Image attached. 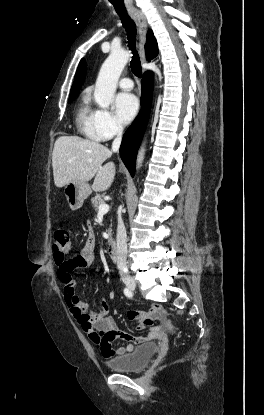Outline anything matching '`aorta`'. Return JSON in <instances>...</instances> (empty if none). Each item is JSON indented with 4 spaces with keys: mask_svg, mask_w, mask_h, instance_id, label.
<instances>
[{
    "mask_svg": "<svg viewBox=\"0 0 264 415\" xmlns=\"http://www.w3.org/2000/svg\"><path fill=\"white\" fill-rule=\"evenodd\" d=\"M129 53L123 49L112 50L101 66L97 77L94 98L101 108H108L112 103L116 91L118 79L127 64ZM145 149L141 147L137 157V168L144 159Z\"/></svg>",
    "mask_w": 264,
    "mask_h": 415,
    "instance_id": "obj_1",
    "label": "aorta"
}]
</instances>
